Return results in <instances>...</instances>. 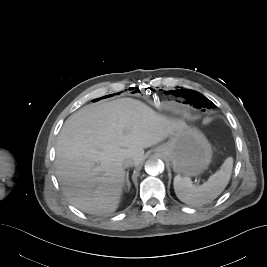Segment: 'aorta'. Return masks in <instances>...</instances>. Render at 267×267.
<instances>
[{
	"label": "aorta",
	"mask_w": 267,
	"mask_h": 267,
	"mask_svg": "<svg viewBox=\"0 0 267 267\" xmlns=\"http://www.w3.org/2000/svg\"><path fill=\"white\" fill-rule=\"evenodd\" d=\"M164 163L156 156L151 157L145 163V171L152 176H156L164 171Z\"/></svg>",
	"instance_id": "762f6f07"
}]
</instances>
